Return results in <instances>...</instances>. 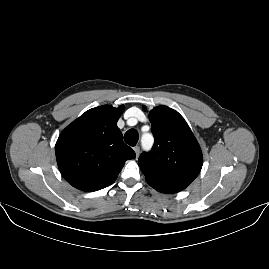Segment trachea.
I'll return each mask as SVG.
<instances>
[{
  "instance_id": "1",
  "label": "trachea",
  "mask_w": 269,
  "mask_h": 269,
  "mask_svg": "<svg viewBox=\"0 0 269 269\" xmlns=\"http://www.w3.org/2000/svg\"><path fill=\"white\" fill-rule=\"evenodd\" d=\"M125 142L130 146H135L138 142V132L135 129L128 130L124 135Z\"/></svg>"
}]
</instances>
